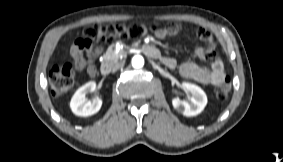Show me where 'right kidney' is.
<instances>
[{
    "instance_id": "1",
    "label": "right kidney",
    "mask_w": 283,
    "mask_h": 162,
    "mask_svg": "<svg viewBox=\"0 0 283 162\" xmlns=\"http://www.w3.org/2000/svg\"><path fill=\"white\" fill-rule=\"evenodd\" d=\"M95 90L96 82L90 81L75 92L70 102V108L75 115L87 117L100 110L102 106L101 99L96 98L90 101L86 98L88 93L94 92Z\"/></svg>"
}]
</instances>
